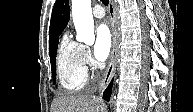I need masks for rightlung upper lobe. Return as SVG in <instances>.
<instances>
[{"instance_id": "obj_1", "label": "right lung upper lobe", "mask_w": 193, "mask_h": 112, "mask_svg": "<svg viewBox=\"0 0 193 112\" xmlns=\"http://www.w3.org/2000/svg\"><path fill=\"white\" fill-rule=\"evenodd\" d=\"M70 19L68 0H56L50 22L49 48L52 47L59 35L65 29Z\"/></svg>"}]
</instances>
